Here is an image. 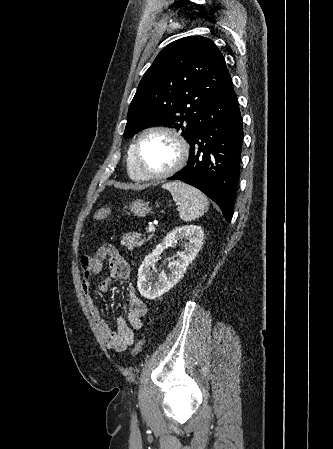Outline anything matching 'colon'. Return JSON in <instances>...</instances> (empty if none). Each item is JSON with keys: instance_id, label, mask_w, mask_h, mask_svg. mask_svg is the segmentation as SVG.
<instances>
[{"instance_id": "obj_1", "label": "colon", "mask_w": 333, "mask_h": 449, "mask_svg": "<svg viewBox=\"0 0 333 449\" xmlns=\"http://www.w3.org/2000/svg\"><path fill=\"white\" fill-rule=\"evenodd\" d=\"M111 215V210L109 208H101L99 210H97L94 214V220L95 221H102L107 219L109 216ZM146 342V338L143 337L140 340H138L133 348H132V355L134 357L138 356L140 354V352L143 349V346Z\"/></svg>"}]
</instances>
